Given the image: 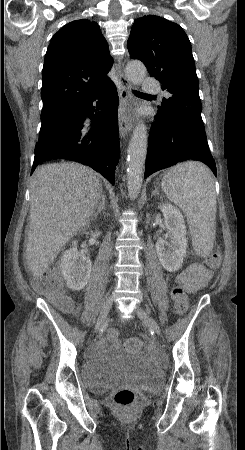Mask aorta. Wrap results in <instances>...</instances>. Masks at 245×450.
<instances>
[{
	"label": "aorta",
	"mask_w": 245,
	"mask_h": 450,
	"mask_svg": "<svg viewBox=\"0 0 245 450\" xmlns=\"http://www.w3.org/2000/svg\"><path fill=\"white\" fill-rule=\"evenodd\" d=\"M147 69L140 61H130L126 65L127 79L133 84H140L146 77ZM147 155V129L144 123H138L133 130L129 143L127 163V188L131 199L140 193L143 170Z\"/></svg>",
	"instance_id": "1"
}]
</instances>
